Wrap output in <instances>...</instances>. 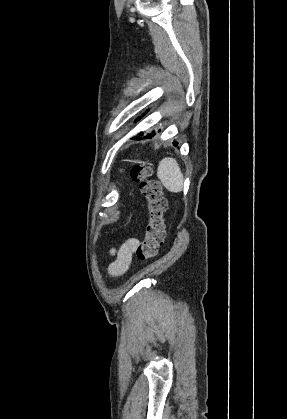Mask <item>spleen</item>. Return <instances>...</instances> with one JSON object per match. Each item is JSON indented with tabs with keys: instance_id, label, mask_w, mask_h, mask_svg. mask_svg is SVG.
I'll list each match as a JSON object with an SVG mask.
<instances>
[{
	"instance_id": "1",
	"label": "spleen",
	"mask_w": 287,
	"mask_h": 419,
	"mask_svg": "<svg viewBox=\"0 0 287 419\" xmlns=\"http://www.w3.org/2000/svg\"><path fill=\"white\" fill-rule=\"evenodd\" d=\"M157 176L168 191L173 193L182 191L183 174L174 158L166 157L159 162Z\"/></svg>"
}]
</instances>
